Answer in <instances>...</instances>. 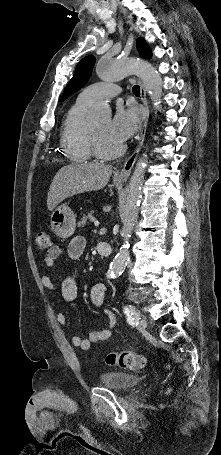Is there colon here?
I'll list each match as a JSON object with an SVG mask.
<instances>
[{"label":"colon","instance_id":"colon-1","mask_svg":"<svg viewBox=\"0 0 221 455\" xmlns=\"http://www.w3.org/2000/svg\"><path fill=\"white\" fill-rule=\"evenodd\" d=\"M36 248L40 251H49L52 247L51 236L46 230H38L35 237ZM106 363L109 366L120 367L129 370L142 369L146 364L143 355L134 351L112 352L106 356Z\"/></svg>","mask_w":221,"mask_h":455}]
</instances>
